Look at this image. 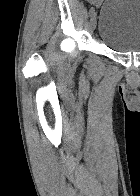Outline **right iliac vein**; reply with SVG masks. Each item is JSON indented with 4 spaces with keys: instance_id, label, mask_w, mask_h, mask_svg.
I'll use <instances>...</instances> for the list:
<instances>
[{
    "instance_id": "obj_1",
    "label": "right iliac vein",
    "mask_w": 140,
    "mask_h": 196,
    "mask_svg": "<svg viewBox=\"0 0 140 196\" xmlns=\"http://www.w3.org/2000/svg\"><path fill=\"white\" fill-rule=\"evenodd\" d=\"M90 23H91L92 28L95 30L96 28V15L95 14L91 15Z\"/></svg>"
}]
</instances>
